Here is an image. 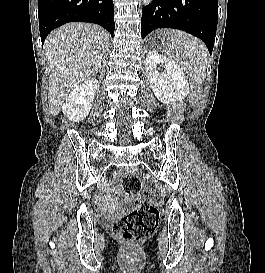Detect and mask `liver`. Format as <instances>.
I'll list each match as a JSON object with an SVG mask.
<instances>
[{"label": "liver", "instance_id": "obj_1", "mask_svg": "<svg viewBox=\"0 0 265 273\" xmlns=\"http://www.w3.org/2000/svg\"><path fill=\"white\" fill-rule=\"evenodd\" d=\"M108 47L107 33L89 23H68L47 37L45 52L51 71L48 99L54 116L76 86L96 75Z\"/></svg>", "mask_w": 265, "mask_h": 273}]
</instances>
